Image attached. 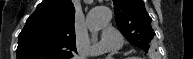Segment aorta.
<instances>
[{"label": "aorta", "mask_w": 193, "mask_h": 59, "mask_svg": "<svg viewBox=\"0 0 193 59\" xmlns=\"http://www.w3.org/2000/svg\"><path fill=\"white\" fill-rule=\"evenodd\" d=\"M112 19V11L105 6L93 8L87 16V25L91 32H97L105 27Z\"/></svg>", "instance_id": "1"}]
</instances>
